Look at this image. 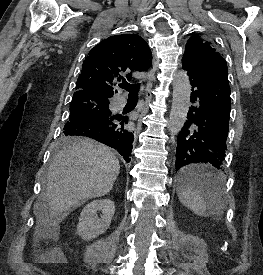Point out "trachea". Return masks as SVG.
I'll return each instance as SVG.
<instances>
[{
    "mask_svg": "<svg viewBox=\"0 0 263 275\" xmlns=\"http://www.w3.org/2000/svg\"><path fill=\"white\" fill-rule=\"evenodd\" d=\"M119 87L127 90L129 92V97L138 98V93L140 89L139 84H130L127 82H123L122 84H119Z\"/></svg>",
    "mask_w": 263,
    "mask_h": 275,
    "instance_id": "3493384b",
    "label": "trachea"
}]
</instances>
